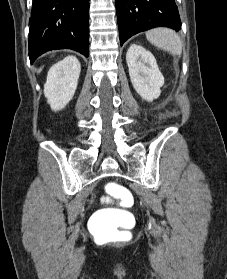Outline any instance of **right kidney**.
<instances>
[{
    "label": "right kidney",
    "mask_w": 227,
    "mask_h": 279,
    "mask_svg": "<svg viewBox=\"0 0 227 279\" xmlns=\"http://www.w3.org/2000/svg\"><path fill=\"white\" fill-rule=\"evenodd\" d=\"M80 71V62L72 55L50 68L44 85V95L52 110L63 109L73 98Z\"/></svg>",
    "instance_id": "1"
}]
</instances>
